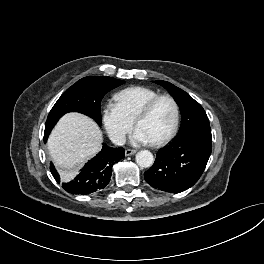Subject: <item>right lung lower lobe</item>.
<instances>
[{"mask_svg":"<svg viewBox=\"0 0 264 264\" xmlns=\"http://www.w3.org/2000/svg\"><path fill=\"white\" fill-rule=\"evenodd\" d=\"M47 138L48 136H44V142ZM124 157L123 148H110L103 144L102 150L85 164L72 181L62 183L63 189L71 194L82 195L103 189L110 181L113 165ZM50 171L55 180L60 183L59 174L52 163Z\"/></svg>","mask_w":264,"mask_h":264,"instance_id":"1","label":"right lung lower lobe"}]
</instances>
